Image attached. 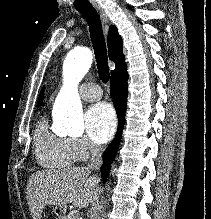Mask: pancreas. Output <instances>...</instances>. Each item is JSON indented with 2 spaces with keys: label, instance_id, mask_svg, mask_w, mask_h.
<instances>
[{
  "label": "pancreas",
  "instance_id": "1",
  "mask_svg": "<svg viewBox=\"0 0 211 219\" xmlns=\"http://www.w3.org/2000/svg\"><path fill=\"white\" fill-rule=\"evenodd\" d=\"M62 219H77V214L71 213L68 216H64Z\"/></svg>",
  "mask_w": 211,
  "mask_h": 219
}]
</instances>
